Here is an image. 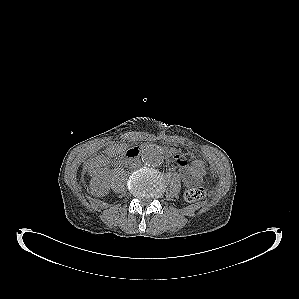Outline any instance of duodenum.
I'll return each mask as SVG.
<instances>
[{"label":"duodenum","mask_w":299,"mask_h":299,"mask_svg":"<svg viewBox=\"0 0 299 299\" xmlns=\"http://www.w3.org/2000/svg\"><path fill=\"white\" fill-rule=\"evenodd\" d=\"M141 150L139 147H133L127 150L125 155L120 159L119 163L124 165L128 162H131L137 159L140 156Z\"/></svg>","instance_id":"duodenum-1"}]
</instances>
